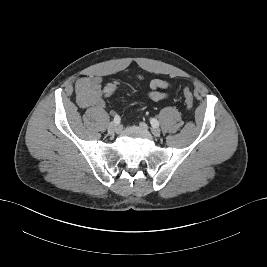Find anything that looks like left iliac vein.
<instances>
[{"label":"left iliac vein","instance_id":"1","mask_svg":"<svg viewBox=\"0 0 267 267\" xmlns=\"http://www.w3.org/2000/svg\"><path fill=\"white\" fill-rule=\"evenodd\" d=\"M140 126L143 128V129H146L147 128V125L145 123H140ZM151 132L152 134L155 136V137H159L160 134H161V131L158 127H152L151 128Z\"/></svg>","mask_w":267,"mask_h":267}]
</instances>
